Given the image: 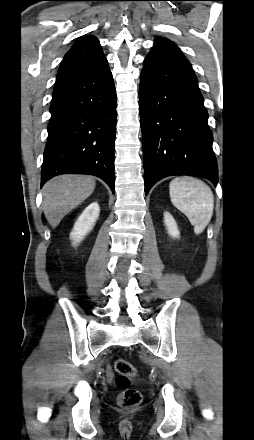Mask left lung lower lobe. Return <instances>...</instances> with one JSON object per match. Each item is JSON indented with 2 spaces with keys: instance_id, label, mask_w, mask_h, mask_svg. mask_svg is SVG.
<instances>
[{
  "instance_id": "0a47b994",
  "label": "left lung lower lobe",
  "mask_w": 254,
  "mask_h": 440,
  "mask_svg": "<svg viewBox=\"0 0 254 440\" xmlns=\"http://www.w3.org/2000/svg\"><path fill=\"white\" fill-rule=\"evenodd\" d=\"M198 81L189 61L151 51L140 75L139 111L145 194L164 177L194 175L216 185L212 132Z\"/></svg>"
}]
</instances>
